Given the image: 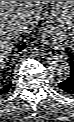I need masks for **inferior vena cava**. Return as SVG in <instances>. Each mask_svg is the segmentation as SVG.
<instances>
[{"label":"inferior vena cava","instance_id":"1","mask_svg":"<svg viewBox=\"0 0 74 122\" xmlns=\"http://www.w3.org/2000/svg\"><path fill=\"white\" fill-rule=\"evenodd\" d=\"M25 28H26L25 25H21V26H20V31H23Z\"/></svg>","mask_w":74,"mask_h":122}]
</instances>
